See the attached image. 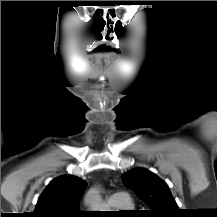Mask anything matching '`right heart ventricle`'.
Instances as JSON below:
<instances>
[{"label": "right heart ventricle", "instance_id": "1", "mask_svg": "<svg viewBox=\"0 0 217 217\" xmlns=\"http://www.w3.org/2000/svg\"><path fill=\"white\" fill-rule=\"evenodd\" d=\"M133 207H134V204L130 200L128 204L122 205L120 207H114V208L121 209V210H128V209H132Z\"/></svg>", "mask_w": 217, "mask_h": 217}]
</instances>
